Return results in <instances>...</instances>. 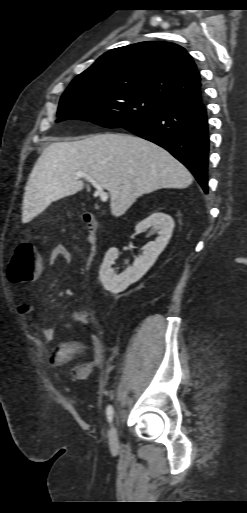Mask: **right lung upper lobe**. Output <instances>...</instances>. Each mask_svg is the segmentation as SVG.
I'll return each mask as SVG.
<instances>
[{"instance_id":"obj_1","label":"right lung upper lobe","mask_w":247,"mask_h":513,"mask_svg":"<svg viewBox=\"0 0 247 513\" xmlns=\"http://www.w3.org/2000/svg\"><path fill=\"white\" fill-rule=\"evenodd\" d=\"M72 82L127 89L168 106L201 99L200 75L192 57L170 42H141L112 49Z\"/></svg>"}]
</instances>
